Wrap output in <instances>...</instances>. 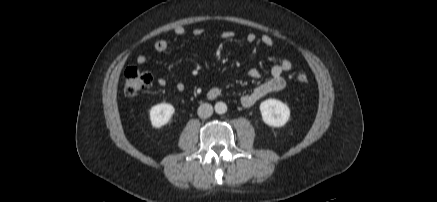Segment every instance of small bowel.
Instances as JSON below:
<instances>
[{"label":"small bowel","instance_id":"small-bowel-1","mask_svg":"<svg viewBox=\"0 0 437 202\" xmlns=\"http://www.w3.org/2000/svg\"><path fill=\"white\" fill-rule=\"evenodd\" d=\"M175 37H181L185 34V29L182 26H176L172 30ZM204 34V29L202 28H196L193 30V35L196 37H200ZM219 38L221 39H232L236 37V33L232 30L223 31L219 35ZM246 41L248 43H254L257 40V36L254 33H249L245 37ZM260 42L267 48H273L274 41L271 36L269 35H262L259 38ZM171 44V39H159L155 41L152 45V48L156 52H164L168 49V47ZM147 58L145 55L140 54L136 57V62L138 64H144L146 62ZM292 68V63L288 59H282L277 64H275L270 72V77L255 87L252 91L244 94L241 97V104L244 107H251L254 104H256L260 99H262L264 96L268 95L269 93L280 91L284 89L286 86V81L284 78V73L288 72ZM260 71L258 69H251L249 71V76L253 79H257L260 77ZM158 84L162 87L166 86L168 84L167 80L164 78L158 79ZM175 88L177 91L181 92L184 90V85L180 82L175 84ZM219 94L218 88H212L209 91V95L211 97H216Z\"/></svg>","mask_w":437,"mask_h":202}]
</instances>
